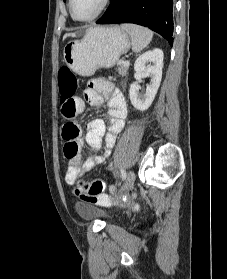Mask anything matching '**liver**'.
I'll return each instance as SVG.
<instances>
[{"label": "liver", "instance_id": "6515ba94", "mask_svg": "<svg viewBox=\"0 0 227 279\" xmlns=\"http://www.w3.org/2000/svg\"><path fill=\"white\" fill-rule=\"evenodd\" d=\"M70 36H73V34H71V33H66V34L63 36V40L66 39L67 37H70Z\"/></svg>", "mask_w": 227, "mask_h": 279}]
</instances>
